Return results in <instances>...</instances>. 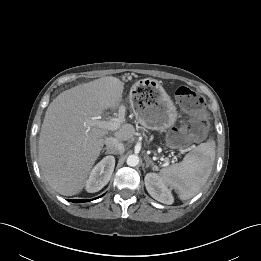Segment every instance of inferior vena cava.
Here are the masks:
<instances>
[{
  "instance_id": "obj_1",
  "label": "inferior vena cava",
  "mask_w": 261,
  "mask_h": 261,
  "mask_svg": "<svg viewBox=\"0 0 261 261\" xmlns=\"http://www.w3.org/2000/svg\"><path fill=\"white\" fill-rule=\"evenodd\" d=\"M104 143L111 154H123L125 151L124 144L114 137L105 138Z\"/></svg>"
}]
</instances>
